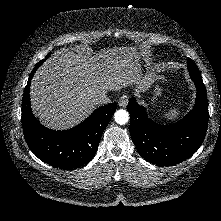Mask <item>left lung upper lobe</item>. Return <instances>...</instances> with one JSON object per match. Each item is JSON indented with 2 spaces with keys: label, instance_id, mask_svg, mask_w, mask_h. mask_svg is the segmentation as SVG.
Listing matches in <instances>:
<instances>
[{
  "label": "left lung upper lobe",
  "instance_id": "left-lung-upper-lobe-1",
  "mask_svg": "<svg viewBox=\"0 0 221 221\" xmlns=\"http://www.w3.org/2000/svg\"><path fill=\"white\" fill-rule=\"evenodd\" d=\"M187 68L190 72L191 78H196V79L202 80L201 74H200L196 64L191 59L188 60Z\"/></svg>",
  "mask_w": 221,
  "mask_h": 221
}]
</instances>
